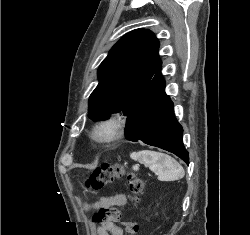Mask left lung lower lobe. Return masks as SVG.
I'll list each match as a JSON object with an SVG mask.
<instances>
[{"mask_svg":"<svg viewBox=\"0 0 250 235\" xmlns=\"http://www.w3.org/2000/svg\"><path fill=\"white\" fill-rule=\"evenodd\" d=\"M127 120L125 133L128 140H141L167 150L189 164L188 151L182 142L183 130L175 118L173 102L165 93L160 70L134 104Z\"/></svg>","mask_w":250,"mask_h":235,"instance_id":"1","label":"left lung lower lobe"}]
</instances>
